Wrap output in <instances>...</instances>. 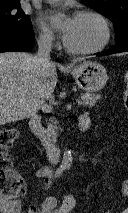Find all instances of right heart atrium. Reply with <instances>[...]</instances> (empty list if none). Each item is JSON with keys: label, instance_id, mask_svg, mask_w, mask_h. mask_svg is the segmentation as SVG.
<instances>
[{"label": "right heart atrium", "instance_id": "right-heart-atrium-1", "mask_svg": "<svg viewBox=\"0 0 128 213\" xmlns=\"http://www.w3.org/2000/svg\"><path fill=\"white\" fill-rule=\"evenodd\" d=\"M39 43L46 47L52 46L55 43V37L52 33L42 30L39 33Z\"/></svg>", "mask_w": 128, "mask_h": 213}]
</instances>
